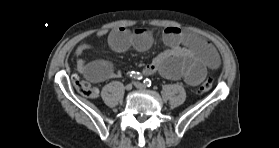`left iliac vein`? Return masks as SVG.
Wrapping results in <instances>:
<instances>
[{
	"label": "left iliac vein",
	"mask_w": 279,
	"mask_h": 148,
	"mask_svg": "<svg viewBox=\"0 0 279 148\" xmlns=\"http://www.w3.org/2000/svg\"><path fill=\"white\" fill-rule=\"evenodd\" d=\"M134 86H135L136 88L140 89V90H145V89H146L145 85L142 84V83H140V82H135V83H134Z\"/></svg>",
	"instance_id": "obj_1"
}]
</instances>
